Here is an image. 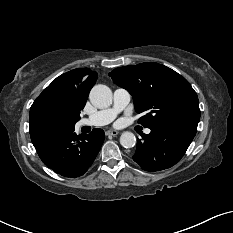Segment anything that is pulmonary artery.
<instances>
[{"instance_id":"e3ab8cb5","label":"pulmonary artery","mask_w":233,"mask_h":233,"mask_svg":"<svg viewBox=\"0 0 233 233\" xmlns=\"http://www.w3.org/2000/svg\"><path fill=\"white\" fill-rule=\"evenodd\" d=\"M131 95L124 88H118L113 93V104L111 107L100 110L89 117L80 120V126H104L112 122L118 113H120L130 102ZM150 129L145 133L149 134Z\"/></svg>"}]
</instances>
